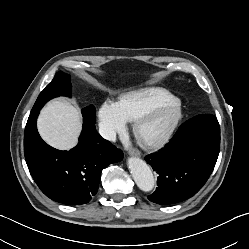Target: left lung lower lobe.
Returning a JSON list of instances; mask_svg holds the SVG:
<instances>
[{"label":"left lung lower lobe","mask_w":249,"mask_h":249,"mask_svg":"<svg viewBox=\"0 0 249 249\" xmlns=\"http://www.w3.org/2000/svg\"><path fill=\"white\" fill-rule=\"evenodd\" d=\"M220 149V126L213 115H198L183 123L158 153L145 157L159 177L152 202L168 205L195 195L216 164Z\"/></svg>","instance_id":"0a47b994"}]
</instances>
